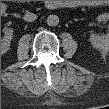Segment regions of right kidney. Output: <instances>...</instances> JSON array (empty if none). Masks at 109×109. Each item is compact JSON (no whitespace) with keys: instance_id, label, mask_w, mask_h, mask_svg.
Segmentation results:
<instances>
[{"instance_id":"right-kidney-1","label":"right kidney","mask_w":109,"mask_h":109,"mask_svg":"<svg viewBox=\"0 0 109 109\" xmlns=\"http://www.w3.org/2000/svg\"><path fill=\"white\" fill-rule=\"evenodd\" d=\"M13 37V30L12 29H6L5 35L1 39V52L2 54L6 53L10 49V43Z\"/></svg>"}]
</instances>
